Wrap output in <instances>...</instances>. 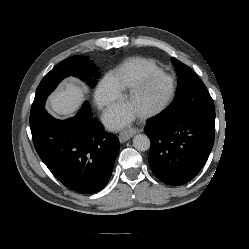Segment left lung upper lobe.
I'll use <instances>...</instances> for the list:
<instances>
[{"instance_id": "5c2ea615", "label": "left lung upper lobe", "mask_w": 249, "mask_h": 249, "mask_svg": "<svg viewBox=\"0 0 249 249\" xmlns=\"http://www.w3.org/2000/svg\"><path fill=\"white\" fill-rule=\"evenodd\" d=\"M178 76L175 98L161 116L167 120H175L185 115L215 111L213 100L195 72L176 58H171Z\"/></svg>"}]
</instances>
